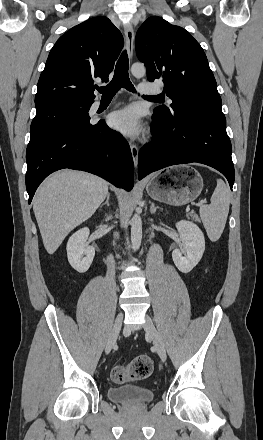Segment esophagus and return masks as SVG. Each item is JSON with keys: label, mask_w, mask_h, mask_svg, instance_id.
<instances>
[{"label": "esophagus", "mask_w": 263, "mask_h": 440, "mask_svg": "<svg viewBox=\"0 0 263 440\" xmlns=\"http://www.w3.org/2000/svg\"><path fill=\"white\" fill-rule=\"evenodd\" d=\"M124 34H125V42H126V49L129 56V59L133 56V49H134V30L131 24H126L124 26ZM130 149L131 154L134 162L135 169L137 168L138 164V147L134 143H130Z\"/></svg>", "instance_id": "esophagus-1"}]
</instances>
